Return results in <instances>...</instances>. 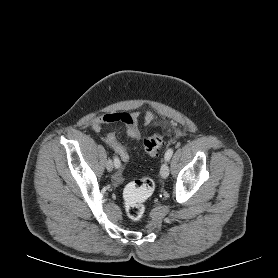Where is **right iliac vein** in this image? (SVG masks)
<instances>
[{"label": "right iliac vein", "mask_w": 278, "mask_h": 278, "mask_svg": "<svg viewBox=\"0 0 278 278\" xmlns=\"http://www.w3.org/2000/svg\"><path fill=\"white\" fill-rule=\"evenodd\" d=\"M106 168L108 171H112L114 168L113 162L111 160H108L106 163Z\"/></svg>", "instance_id": "right-iliac-vein-1"}]
</instances>
